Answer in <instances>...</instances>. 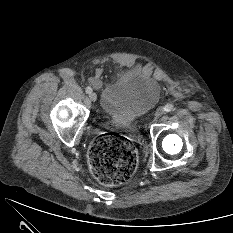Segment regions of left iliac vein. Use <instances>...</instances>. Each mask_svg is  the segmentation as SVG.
<instances>
[{
    "label": "left iliac vein",
    "mask_w": 233,
    "mask_h": 233,
    "mask_svg": "<svg viewBox=\"0 0 233 233\" xmlns=\"http://www.w3.org/2000/svg\"><path fill=\"white\" fill-rule=\"evenodd\" d=\"M164 114V109L162 107H159L155 112V118H159Z\"/></svg>",
    "instance_id": "1"
}]
</instances>
